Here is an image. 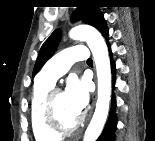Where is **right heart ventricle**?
<instances>
[{"instance_id": "e07e8e85", "label": "right heart ventricle", "mask_w": 155, "mask_h": 141, "mask_svg": "<svg viewBox=\"0 0 155 141\" xmlns=\"http://www.w3.org/2000/svg\"><path fill=\"white\" fill-rule=\"evenodd\" d=\"M54 84L44 81H37L30 106V121L34 137L37 141H55L60 135L52 132L45 125L43 118V102L46 94L52 89Z\"/></svg>"}]
</instances>
